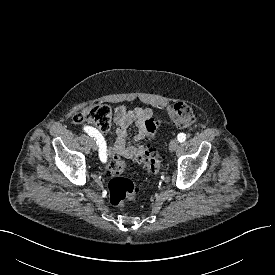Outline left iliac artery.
I'll return each mask as SVG.
<instances>
[{
    "mask_svg": "<svg viewBox=\"0 0 275 275\" xmlns=\"http://www.w3.org/2000/svg\"><path fill=\"white\" fill-rule=\"evenodd\" d=\"M177 139L179 142H184L186 140V135L184 133H179Z\"/></svg>",
    "mask_w": 275,
    "mask_h": 275,
    "instance_id": "obj_1",
    "label": "left iliac artery"
}]
</instances>
